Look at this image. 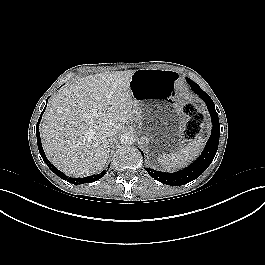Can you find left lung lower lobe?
<instances>
[{"instance_id": "obj_1", "label": "left lung lower lobe", "mask_w": 265, "mask_h": 265, "mask_svg": "<svg viewBox=\"0 0 265 265\" xmlns=\"http://www.w3.org/2000/svg\"><path fill=\"white\" fill-rule=\"evenodd\" d=\"M187 82L190 84L192 90L197 95H199L200 98L203 99L204 102L206 103L207 108L211 115L213 128L211 136L208 139L202 154L190 166L174 173H166V172L156 171L150 168H145V170L148 172V174L151 177H153L157 181H160L163 184H167L170 186H181L198 178L213 161V158L217 152L219 144L220 124H219L218 114L215 110V106L212 99L209 97L207 93H205L198 86V84L193 82L191 79L187 78Z\"/></svg>"}]
</instances>
